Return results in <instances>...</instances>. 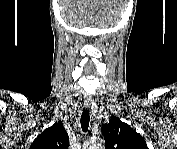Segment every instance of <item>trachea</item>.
Masks as SVG:
<instances>
[{
  "mask_svg": "<svg viewBox=\"0 0 177 149\" xmlns=\"http://www.w3.org/2000/svg\"><path fill=\"white\" fill-rule=\"evenodd\" d=\"M89 121H90V115H89V111L86 109L83 111L82 115H81V128L82 131L86 132L89 126Z\"/></svg>",
  "mask_w": 177,
  "mask_h": 149,
  "instance_id": "1",
  "label": "trachea"
}]
</instances>
